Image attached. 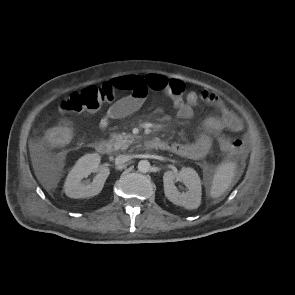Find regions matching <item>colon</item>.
I'll use <instances>...</instances> for the list:
<instances>
[{"mask_svg":"<svg viewBox=\"0 0 295 295\" xmlns=\"http://www.w3.org/2000/svg\"><path fill=\"white\" fill-rule=\"evenodd\" d=\"M118 87L107 82L100 87L91 86L81 92L72 94L66 99L60 109L64 113H79L82 111H96L103 104L114 100ZM71 137L70 129L66 125L56 126L46 132V139L55 146L66 145ZM221 150L228 156L241 155L244 151L240 139L221 137L219 139Z\"/></svg>","mask_w":295,"mask_h":295,"instance_id":"1","label":"colon"}]
</instances>
